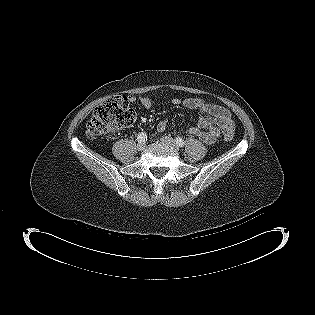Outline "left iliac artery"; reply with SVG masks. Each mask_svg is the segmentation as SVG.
I'll use <instances>...</instances> for the list:
<instances>
[{
  "label": "left iliac artery",
  "mask_w": 315,
  "mask_h": 315,
  "mask_svg": "<svg viewBox=\"0 0 315 315\" xmlns=\"http://www.w3.org/2000/svg\"><path fill=\"white\" fill-rule=\"evenodd\" d=\"M175 142H176V144H177L179 147H184V145H185V142H184L183 139L180 138V137H177V138L175 139Z\"/></svg>",
  "instance_id": "left-iliac-artery-1"
}]
</instances>
